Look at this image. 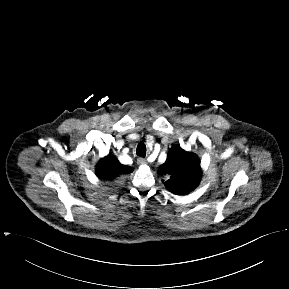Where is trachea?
<instances>
[{
  "label": "trachea",
  "mask_w": 289,
  "mask_h": 289,
  "mask_svg": "<svg viewBox=\"0 0 289 289\" xmlns=\"http://www.w3.org/2000/svg\"><path fill=\"white\" fill-rule=\"evenodd\" d=\"M136 153L140 157H145L146 155V146L143 142H140L137 146Z\"/></svg>",
  "instance_id": "trachea-1"
}]
</instances>
